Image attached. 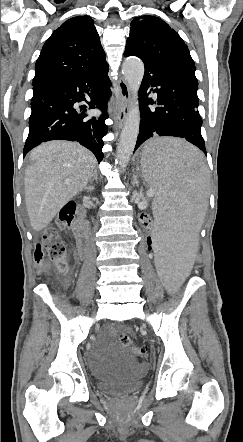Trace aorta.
<instances>
[{
	"label": "aorta",
	"mask_w": 243,
	"mask_h": 442,
	"mask_svg": "<svg viewBox=\"0 0 243 442\" xmlns=\"http://www.w3.org/2000/svg\"><path fill=\"white\" fill-rule=\"evenodd\" d=\"M122 71L135 101L128 113L117 146L116 164L120 169L124 170L134 151L139 134L140 114L137 99L144 75V64L137 57H129L124 61Z\"/></svg>",
	"instance_id": "1"
}]
</instances>
